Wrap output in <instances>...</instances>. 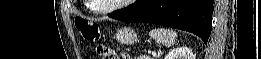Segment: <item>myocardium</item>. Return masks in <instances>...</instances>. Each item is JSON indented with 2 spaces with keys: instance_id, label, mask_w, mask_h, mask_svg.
I'll list each match as a JSON object with an SVG mask.
<instances>
[{
  "instance_id": "f54148a6",
  "label": "myocardium",
  "mask_w": 261,
  "mask_h": 59,
  "mask_svg": "<svg viewBox=\"0 0 261 59\" xmlns=\"http://www.w3.org/2000/svg\"><path fill=\"white\" fill-rule=\"evenodd\" d=\"M129 2V0H124L114 6H111L109 8L106 9H100V8H92L95 12L100 13V14H108L111 12H114L120 8H122L124 6L125 3Z\"/></svg>"
}]
</instances>
